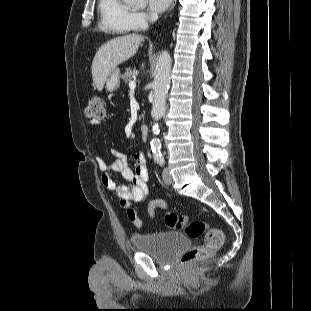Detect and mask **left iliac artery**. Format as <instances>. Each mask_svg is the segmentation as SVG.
<instances>
[{
  "label": "left iliac artery",
  "instance_id": "obj_1",
  "mask_svg": "<svg viewBox=\"0 0 311 311\" xmlns=\"http://www.w3.org/2000/svg\"><path fill=\"white\" fill-rule=\"evenodd\" d=\"M156 161H157V163L160 164V165H163V164L165 163L164 158H161V157H160V158H157Z\"/></svg>",
  "mask_w": 311,
  "mask_h": 311
}]
</instances>
